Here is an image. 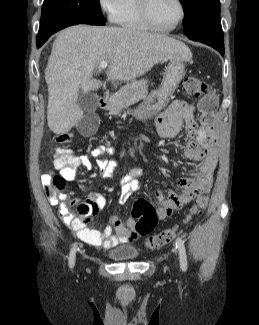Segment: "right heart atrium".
Here are the masks:
<instances>
[{"label": "right heart atrium", "instance_id": "obj_1", "mask_svg": "<svg viewBox=\"0 0 259 325\" xmlns=\"http://www.w3.org/2000/svg\"><path fill=\"white\" fill-rule=\"evenodd\" d=\"M123 0H98V5L106 16L114 20L121 9Z\"/></svg>", "mask_w": 259, "mask_h": 325}]
</instances>
